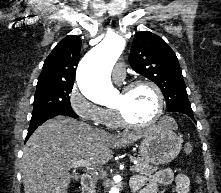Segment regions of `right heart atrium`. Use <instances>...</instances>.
Returning <instances> with one entry per match:
<instances>
[{
  "mask_svg": "<svg viewBox=\"0 0 221 193\" xmlns=\"http://www.w3.org/2000/svg\"><path fill=\"white\" fill-rule=\"evenodd\" d=\"M68 103L74 113L83 120L95 125L106 123V110L89 101L77 85L72 86L68 94Z\"/></svg>",
  "mask_w": 221,
  "mask_h": 193,
  "instance_id": "d8ad5b80",
  "label": "right heart atrium"
}]
</instances>
